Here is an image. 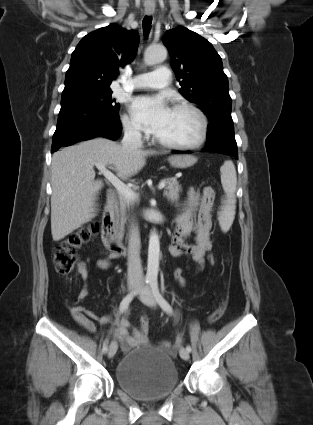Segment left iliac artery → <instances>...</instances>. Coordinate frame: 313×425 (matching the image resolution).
<instances>
[{
  "label": "left iliac artery",
  "mask_w": 313,
  "mask_h": 425,
  "mask_svg": "<svg viewBox=\"0 0 313 425\" xmlns=\"http://www.w3.org/2000/svg\"><path fill=\"white\" fill-rule=\"evenodd\" d=\"M150 287L153 293V296L155 297L156 301L160 305V307L167 312L168 314H173V310L170 306V304L164 299V297L161 295L159 288H158V281L156 278H153L150 280ZM187 351L191 352V346H186Z\"/></svg>",
  "instance_id": "1"
}]
</instances>
